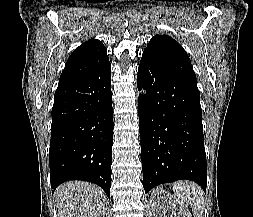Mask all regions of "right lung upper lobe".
<instances>
[{"label":"right lung upper lobe","mask_w":253,"mask_h":217,"mask_svg":"<svg viewBox=\"0 0 253 217\" xmlns=\"http://www.w3.org/2000/svg\"><path fill=\"white\" fill-rule=\"evenodd\" d=\"M109 63L106 47L91 39L81 44L69 57L59 84L86 76Z\"/></svg>","instance_id":"1"}]
</instances>
